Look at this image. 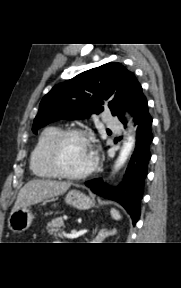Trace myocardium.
<instances>
[{
  "instance_id": "1",
  "label": "myocardium",
  "mask_w": 181,
  "mask_h": 288,
  "mask_svg": "<svg viewBox=\"0 0 181 288\" xmlns=\"http://www.w3.org/2000/svg\"><path fill=\"white\" fill-rule=\"evenodd\" d=\"M70 137H78L85 140L89 145L91 144V135L82 129H65L57 133V135L52 140L48 149V161L52 169L60 176L68 179H83L93 173L97 167L98 161L95 156H93L92 164L83 172L74 173L68 171L62 163L61 160V149L63 143Z\"/></svg>"
}]
</instances>
